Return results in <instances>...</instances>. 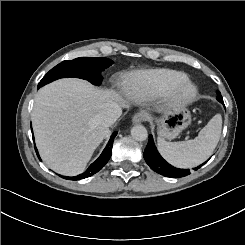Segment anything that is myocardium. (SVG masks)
<instances>
[{
    "instance_id": "obj_1",
    "label": "myocardium",
    "mask_w": 245,
    "mask_h": 245,
    "mask_svg": "<svg viewBox=\"0 0 245 245\" xmlns=\"http://www.w3.org/2000/svg\"><path fill=\"white\" fill-rule=\"evenodd\" d=\"M197 94L196 86L189 80L174 84L164 90L163 96L170 102L185 105L194 100Z\"/></svg>"
}]
</instances>
